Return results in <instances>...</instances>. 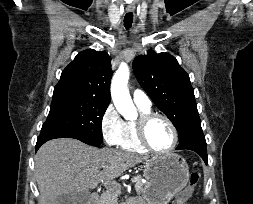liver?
<instances>
[{
	"mask_svg": "<svg viewBox=\"0 0 253 204\" xmlns=\"http://www.w3.org/2000/svg\"><path fill=\"white\" fill-rule=\"evenodd\" d=\"M143 161L148 158L112 148L98 149L76 139L50 140L35 156L38 204H58L57 196L94 189Z\"/></svg>",
	"mask_w": 253,
	"mask_h": 204,
	"instance_id": "6515ba94",
	"label": "liver"
}]
</instances>
